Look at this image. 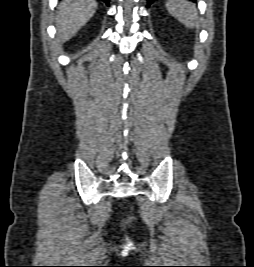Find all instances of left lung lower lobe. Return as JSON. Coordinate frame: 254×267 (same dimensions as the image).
<instances>
[{"instance_id": "0a47b994", "label": "left lung lower lobe", "mask_w": 254, "mask_h": 267, "mask_svg": "<svg viewBox=\"0 0 254 267\" xmlns=\"http://www.w3.org/2000/svg\"><path fill=\"white\" fill-rule=\"evenodd\" d=\"M154 1H156V0H148L147 5H148V6L151 5ZM190 1H195V0H190Z\"/></svg>"}]
</instances>
